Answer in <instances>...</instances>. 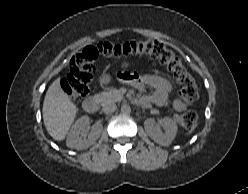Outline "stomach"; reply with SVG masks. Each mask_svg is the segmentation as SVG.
Masks as SVG:
<instances>
[{
  "mask_svg": "<svg viewBox=\"0 0 248 194\" xmlns=\"http://www.w3.org/2000/svg\"><path fill=\"white\" fill-rule=\"evenodd\" d=\"M128 66H129V63L128 62H123L122 65H121V67L124 68V69L128 68ZM105 79L108 81L109 80V77L106 76Z\"/></svg>",
  "mask_w": 248,
  "mask_h": 194,
  "instance_id": "1",
  "label": "stomach"
}]
</instances>
